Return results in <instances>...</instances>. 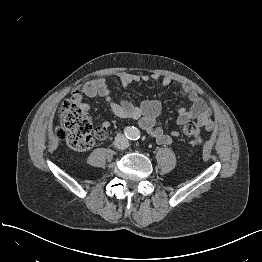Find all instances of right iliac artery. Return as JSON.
Wrapping results in <instances>:
<instances>
[{
	"label": "right iliac artery",
	"mask_w": 262,
	"mask_h": 262,
	"mask_svg": "<svg viewBox=\"0 0 262 262\" xmlns=\"http://www.w3.org/2000/svg\"><path fill=\"white\" fill-rule=\"evenodd\" d=\"M124 133L126 136H130L132 134V129L130 127H126L124 129Z\"/></svg>",
	"instance_id": "right-iliac-artery-1"
}]
</instances>
